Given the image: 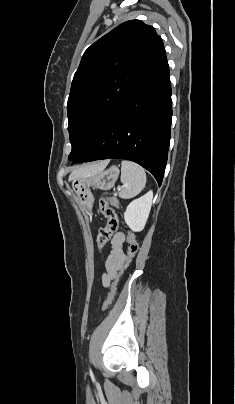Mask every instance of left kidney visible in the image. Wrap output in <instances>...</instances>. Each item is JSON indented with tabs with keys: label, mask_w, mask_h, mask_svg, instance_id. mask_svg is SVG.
I'll return each instance as SVG.
<instances>
[{
	"label": "left kidney",
	"mask_w": 235,
	"mask_h": 404,
	"mask_svg": "<svg viewBox=\"0 0 235 404\" xmlns=\"http://www.w3.org/2000/svg\"><path fill=\"white\" fill-rule=\"evenodd\" d=\"M153 199V192L149 191L142 197L133 200L126 208L124 219L134 232L142 231L149 217Z\"/></svg>",
	"instance_id": "1"
}]
</instances>
